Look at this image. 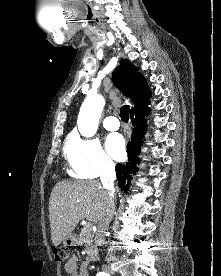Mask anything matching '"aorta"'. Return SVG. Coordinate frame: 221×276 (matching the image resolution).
<instances>
[{
  "instance_id": "762f6f07",
  "label": "aorta",
  "mask_w": 221,
  "mask_h": 276,
  "mask_svg": "<svg viewBox=\"0 0 221 276\" xmlns=\"http://www.w3.org/2000/svg\"><path fill=\"white\" fill-rule=\"evenodd\" d=\"M105 100L101 95L87 96L77 120L78 130L85 137H92L98 128Z\"/></svg>"
}]
</instances>
